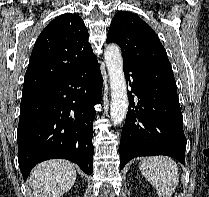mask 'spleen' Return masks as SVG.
<instances>
[{"label":"spleen","mask_w":209,"mask_h":197,"mask_svg":"<svg viewBox=\"0 0 209 197\" xmlns=\"http://www.w3.org/2000/svg\"><path fill=\"white\" fill-rule=\"evenodd\" d=\"M144 177L155 187L158 197H171L179 183L177 164L167 156L144 158L139 163Z\"/></svg>","instance_id":"3e777b00"}]
</instances>
